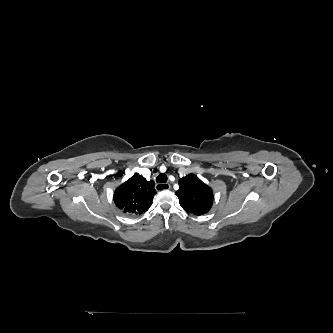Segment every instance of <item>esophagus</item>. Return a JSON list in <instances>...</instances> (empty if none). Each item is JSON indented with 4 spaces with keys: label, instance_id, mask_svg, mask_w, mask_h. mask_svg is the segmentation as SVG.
I'll return each instance as SVG.
<instances>
[{
    "label": "esophagus",
    "instance_id": "esophagus-1",
    "mask_svg": "<svg viewBox=\"0 0 333 333\" xmlns=\"http://www.w3.org/2000/svg\"><path fill=\"white\" fill-rule=\"evenodd\" d=\"M155 188L157 191L168 190L171 188V185L168 183H158Z\"/></svg>",
    "mask_w": 333,
    "mask_h": 333
}]
</instances>
